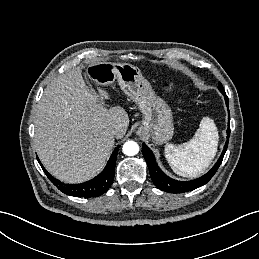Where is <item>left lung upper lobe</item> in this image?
<instances>
[{
    "mask_svg": "<svg viewBox=\"0 0 259 259\" xmlns=\"http://www.w3.org/2000/svg\"><path fill=\"white\" fill-rule=\"evenodd\" d=\"M218 89L220 90L221 93H225L224 88L221 83L218 84Z\"/></svg>",
    "mask_w": 259,
    "mask_h": 259,
    "instance_id": "obj_1",
    "label": "left lung upper lobe"
}]
</instances>
